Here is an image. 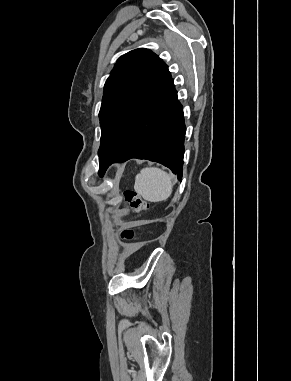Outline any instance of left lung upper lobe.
<instances>
[{
    "mask_svg": "<svg viewBox=\"0 0 291 381\" xmlns=\"http://www.w3.org/2000/svg\"><path fill=\"white\" fill-rule=\"evenodd\" d=\"M167 65L145 48L121 56L108 77L99 112L101 163L124 137L151 98L171 81Z\"/></svg>",
    "mask_w": 291,
    "mask_h": 381,
    "instance_id": "5c2ea615",
    "label": "left lung upper lobe"
}]
</instances>
